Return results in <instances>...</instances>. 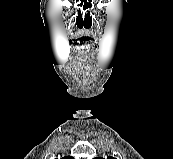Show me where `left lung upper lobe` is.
<instances>
[{"label":"left lung upper lobe","instance_id":"5c2ea615","mask_svg":"<svg viewBox=\"0 0 173 159\" xmlns=\"http://www.w3.org/2000/svg\"><path fill=\"white\" fill-rule=\"evenodd\" d=\"M94 159H104V158H102V157H97V158H94ZM107 159H116V158H114V157H108Z\"/></svg>","mask_w":173,"mask_h":159}]
</instances>
